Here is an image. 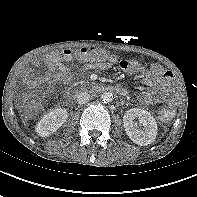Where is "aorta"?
<instances>
[{
	"instance_id": "obj_1",
	"label": "aorta",
	"mask_w": 197,
	"mask_h": 197,
	"mask_svg": "<svg viewBox=\"0 0 197 197\" xmlns=\"http://www.w3.org/2000/svg\"><path fill=\"white\" fill-rule=\"evenodd\" d=\"M101 100L104 102V103H110L112 100H113V95L111 92H104L102 95H101Z\"/></svg>"
}]
</instances>
